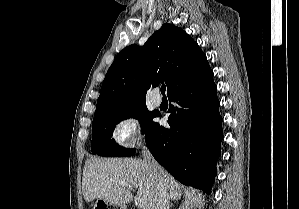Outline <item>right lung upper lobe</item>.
I'll list each match as a JSON object with an SVG mask.
<instances>
[{
	"mask_svg": "<svg viewBox=\"0 0 299 209\" xmlns=\"http://www.w3.org/2000/svg\"><path fill=\"white\" fill-rule=\"evenodd\" d=\"M212 73L198 44L185 31L163 24L144 44L116 56L103 81L95 115L145 104L147 89L165 82L167 93L190 78Z\"/></svg>",
	"mask_w": 299,
	"mask_h": 209,
	"instance_id": "cb5924a9",
	"label": "right lung upper lobe"
}]
</instances>
